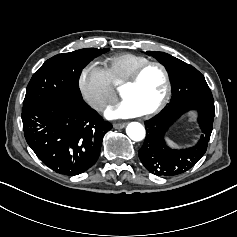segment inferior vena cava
<instances>
[{
  "mask_svg": "<svg viewBox=\"0 0 237 237\" xmlns=\"http://www.w3.org/2000/svg\"><path fill=\"white\" fill-rule=\"evenodd\" d=\"M92 107L97 111H103L107 107L106 101L93 102Z\"/></svg>",
  "mask_w": 237,
  "mask_h": 237,
  "instance_id": "obj_1",
  "label": "inferior vena cava"
}]
</instances>
